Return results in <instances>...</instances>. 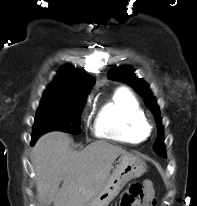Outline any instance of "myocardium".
<instances>
[{
    "label": "myocardium",
    "instance_id": "f54148a6",
    "mask_svg": "<svg viewBox=\"0 0 197 206\" xmlns=\"http://www.w3.org/2000/svg\"><path fill=\"white\" fill-rule=\"evenodd\" d=\"M147 130L149 131V130H150V127H147Z\"/></svg>",
    "mask_w": 197,
    "mask_h": 206
}]
</instances>
